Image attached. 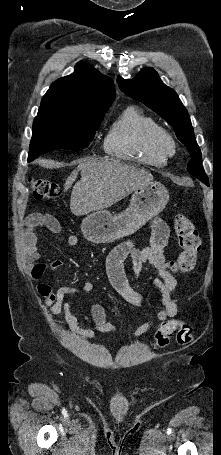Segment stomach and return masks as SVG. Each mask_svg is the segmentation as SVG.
Wrapping results in <instances>:
<instances>
[{
    "instance_id": "obj_1",
    "label": "stomach",
    "mask_w": 221,
    "mask_h": 455,
    "mask_svg": "<svg viewBox=\"0 0 221 455\" xmlns=\"http://www.w3.org/2000/svg\"><path fill=\"white\" fill-rule=\"evenodd\" d=\"M169 201V192L159 182H147L137 188L129 207L112 215L105 209L89 213L81 223L84 237L95 244L111 243L130 236L158 215Z\"/></svg>"
}]
</instances>
